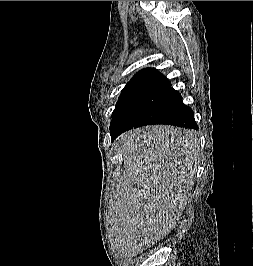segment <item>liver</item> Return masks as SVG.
I'll return each mask as SVG.
<instances>
[{"label":"liver","instance_id":"liver-1","mask_svg":"<svg viewBox=\"0 0 253 266\" xmlns=\"http://www.w3.org/2000/svg\"><path fill=\"white\" fill-rule=\"evenodd\" d=\"M115 144L124 169L112 201L113 236L132 258L176 226L194 186L200 142L194 131L155 125L126 132Z\"/></svg>","mask_w":253,"mask_h":266}]
</instances>
